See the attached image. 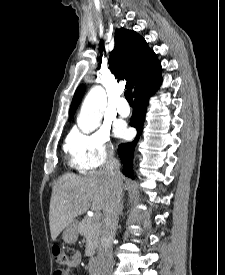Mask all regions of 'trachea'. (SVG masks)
<instances>
[{
    "instance_id": "3493384b",
    "label": "trachea",
    "mask_w": 225,
    "mask_h": 275,
    "mask_svg": "<svg viewBox=\"0 0 225 275\" xmlns=\"http://www.w3.org/2000/svg\"><path fill=\"white\" fill-rule=\"evenodd\" d=\"M125 98L128 101V103L130 105H134V101H133V95H132V90L128 89L125 91Z\"/></svg>"
}]
</instances>
